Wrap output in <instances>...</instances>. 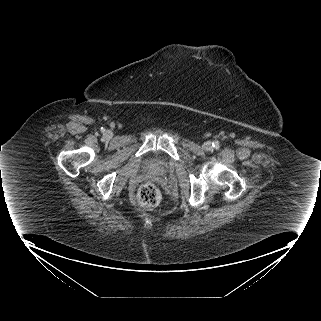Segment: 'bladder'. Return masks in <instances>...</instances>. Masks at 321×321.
Returning <instances> with one entry per match:
<instances>
[{"label":"bladder","mask_w":321,"mask_h":321,"mask_svg":"<svg viewBox=\"0 0 321 321\" xmlns=\"http://www.w3.org/2000/svg\"><path fill=\"white\" fill-rule=\"evenodd\" d=\"M148 169L153 173H165L167 171V167L164 164L158 162H150L148 164Z\"/></svg>","instance_id":"31cf9c89"}]
</instances>
